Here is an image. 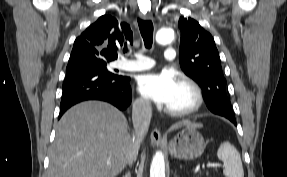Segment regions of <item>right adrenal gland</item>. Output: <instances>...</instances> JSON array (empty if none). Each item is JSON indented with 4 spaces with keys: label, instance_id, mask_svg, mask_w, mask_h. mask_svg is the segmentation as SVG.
Masks as SVG:
<instances>
[{
    "label": "right adrenal gland",
    "instance_id": "2a0ac1e0",
    "mask_svg": "<svg viewBox=\"0 0 287 177\" xmlns=\"http://www.w3.org/2000/svg\"><path fill=\"white\" fill-rule=\"evenodd\" d=\"M123 177H131V173L128 171L125 173V175Z\"/></svg>",
    "mask_w": 287,
    "mask_h": 177
}]
</instances>
